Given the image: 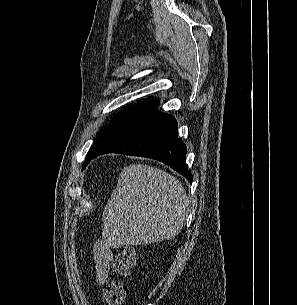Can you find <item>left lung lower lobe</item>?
I'll return each instance as SVG.
<instances>
[{
    "label": "left lung lower lobe",
    "instance_id": "left-lung-lower-lobe-1",
    "mask_svg": "<svg viewBox=\"0 0 297 305\" xmlns=\"http://www.w3.org/2000/svg\"><path fill=\"white\" fill-rule=\"evenodd\" d=\"M158 105V101H146L121 111L88 161L106 153L148 157L169 165L192 183L185 164L187 148L177 136V121L157 112Z\"/></svg>",
    "mask_w": 297,
    "mask_h": 305
}]
</instances>
